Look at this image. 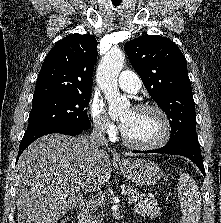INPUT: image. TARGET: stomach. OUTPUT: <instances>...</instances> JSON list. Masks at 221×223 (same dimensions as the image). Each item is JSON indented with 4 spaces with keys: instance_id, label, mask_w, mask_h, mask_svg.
<instances>
[{
    "instance_id": "0dacf381",
    "label": "stomach",
    "mask_w": 221,
    "mask_h": 223,
    "mask_svg": "<svg viewBox=\"0 0 221 223\" xmlns=\"http://www.w3.org/2000/svg\"><path fill=\"white\" fill-rule=\"evenodd\" d=\"M120 171L139 186H151L162 176L160 167L149 160L126 161L119 164Z\"/></svg>"
}]
</instances>
